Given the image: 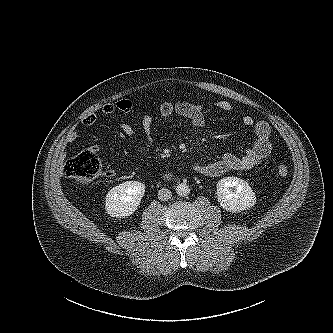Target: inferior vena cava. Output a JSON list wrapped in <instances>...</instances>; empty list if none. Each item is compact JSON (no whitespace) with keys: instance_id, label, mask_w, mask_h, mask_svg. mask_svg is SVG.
<instances>
[{"instance_id":"inferior-vena-cava-1","label":"inferior vena cava","mask_w":333,"mask_h":333,"mask_svg":"<svg viewBox=\"0 0 333 333\" xmlns=\"http://www.w3.org/2000/svg\"><path fill=\"white\" fill-rule=\"evenodd\" d=\"M172 196V193L167 188H162L158 191V198L161 201H168Z\"/></svg>"}]
</instances>
